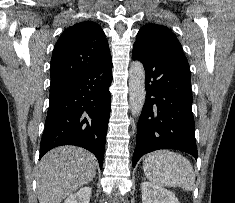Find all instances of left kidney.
Returning <instances> with one entry per match:
<instances>
[{
	"label": "left kidney",
	"instance_id": "obj_1",
	"mask_svg": "<svg viewBox=\"0 0 235 203\" xmlns=\"http://www.w3.org/2000/svg\"><path fill=\"white\" fill-rule=\"evenodd\" d=\"M142 203H180L175 194L151 182L141 183Z\"/></svg>",
	"mask_w": 235,
	"mask_h": 203
}]
</instances>
